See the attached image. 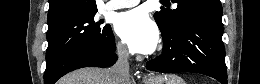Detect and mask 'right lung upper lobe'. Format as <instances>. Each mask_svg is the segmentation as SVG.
Masks as SVG:
<instances>
[{"instance_id":"1","label":"right lung upper lobe","mask_w":260,"mask_h":84,"mask_svg":"<svg viewBox=\"0 0 260 84\" xmlns=\"http://www.w3.org/2000/svg\"><path fill=\"white\" fill-rule=\"evenodd\" d=\"M48 27L97 12L95 0H49Z\"/></svg>"}]
</instances>
